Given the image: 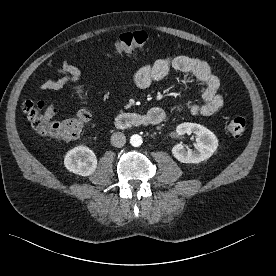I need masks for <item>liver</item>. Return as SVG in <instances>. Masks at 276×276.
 Segmentation results:
<instances>
[{"mask_svg": "<svg viewBox=\"0 0 276 276\" xmlns=\"http://www.w3.org/2000/svg\"><path fill=\"white\" fill-rule=\"evenodd\" d=\"M53 114H54L53 105H50V106H48V108L44 114V120L46 123H48V121L53 117Z\"/></svg>", "mask_w": 276, "mask_h": 276, "instance_id": "1", "label": "liver"}]
</instances>
